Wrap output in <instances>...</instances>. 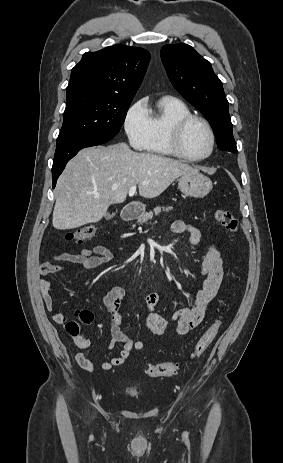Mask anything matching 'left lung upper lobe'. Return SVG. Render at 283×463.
I'll return each instance as SVG.
<instances>
[{"label": "left lung upper lobe", "instance_id": "1", "mask_svg": "<svg viewBox=\"0 0 283 463\" xmlns=\"http://www.w3.org/2000/svg\"><path fill=\"white\" fill-rule=\"evenodd\" d=\"M161 58L174 88L211 124L218 148L236 152L229 103L210 62L184 43L163 46Z\"/></svg>", "mask_w": 283, "mask_h": 463}]
</instances>
